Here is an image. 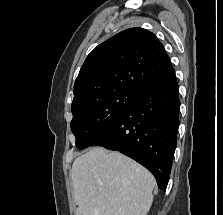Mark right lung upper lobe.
Returning a JSON list of instances; mask_svg holds the SVG:
<instances>
[{"label":"right lung upper lobe","instance_id":"obj_1","mask_svg":"<svg viewBox=\"0 0 223 215\" xmlns=\"http://www.w3.org/2000/svg\"><path fill=\"white\" fill-rule=\"evenodd\" d=\"M174 76L170 58L156 35L130 28L88 55L75 80L71 108L116 90L140 94Z\"/></svg>","mask_w":223,"mask_h":215}]
</instances>
